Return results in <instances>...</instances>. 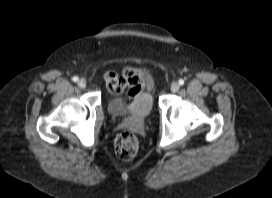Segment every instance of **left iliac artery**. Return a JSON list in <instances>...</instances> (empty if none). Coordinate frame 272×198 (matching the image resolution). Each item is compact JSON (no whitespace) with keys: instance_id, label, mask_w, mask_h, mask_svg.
Instances as JSON below:
<instances>
[{"instance_id":"44dca946","label":"left iliac artery","mask_w":272,"mask_h":198,"mask_svg":"<svg viewBox=\"0 0 272 198\" xmlns=\"http://www.w3.org/2000/svg\"><path fill=\"white\" fill-rule=\"evenodd\" d=\"M179 84H180V85H183V84H184V80H183V79H180V80H179Z\"/></svg>"}]
</instances>
